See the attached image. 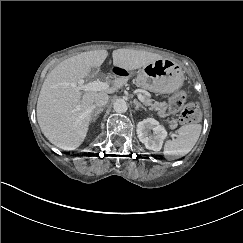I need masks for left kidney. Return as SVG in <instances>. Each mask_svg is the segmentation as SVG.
I'll return each mask as SVG.
<instances>
[{
	"mask_svg": "<svg viewBox=\"0 0 243 243\" xmlns=\"http://www.w3.org/2000/svg\"><path fill=\"white\" fill-rule=\"evenodd\" d=\"M153 131V135H149V131ZM139 140L149 150L160 151L165 138L167 137V131L164 126L153 118H147L140 121L137 124L136 129Z\"/></svg>",
	"mask_w": 243,
	"mask_h": 243,
	"instance_id": "left-kidney-1",
	"label": "left kidney"
}]
</instances>
